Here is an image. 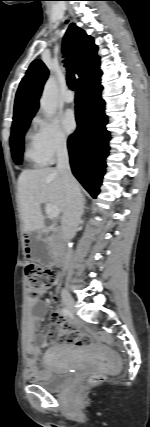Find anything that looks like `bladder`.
I'll return each mask as SVG.
<instances>
[{"mask_svg":"<svg viewBox=\"0 0 150 427\" xmlns=\"http://www.w3.org/2000/svg\"><path fill=\"white\" fill-rule=\"evenodd\" d=\"M73 367L61 360H47L45 376L36 385L48 391H57L64 387L72 378Z\"/></svg>","mask_w":150,"mask_h":427,"instance_id":"31cf9c89","label":"bladder"}]
</instances>
